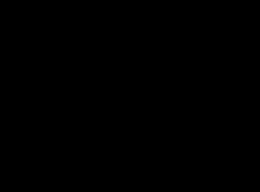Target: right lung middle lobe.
Masks as SVG:
<instances>
[{
  "label": "right lung middle lobe",
  "mask_w": 260,
  "mask_h": 192,
  "mask_svg": "<svg viewBox=\"0 0 260 192\" xmlns=\"http://www.w3.org/2000/svg\"><path fill=\"white\" fill-rule=\"evenodd\" d=\"M74 58H76V56ZM72 63H73V61L66 60V64H72Z\"/></svg>",
  "instance_id": "right-lung-middle-lobe-1"
}]
</instances>
